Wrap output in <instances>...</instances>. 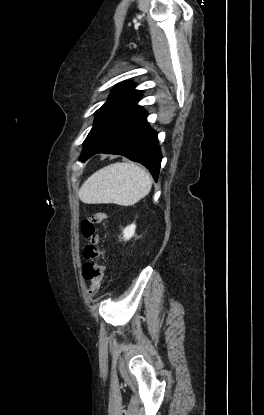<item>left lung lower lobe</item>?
Instances as JSON below:
<instances>
[{
  "label": "left lung lower lobe",
  "mask_w": 264,
  "mask_h": 415,
  "mask_svg": "<svg viewBox=\"0 0 264 415\" xmlns=\"http://www.w3.org/2000/svg\"><path fill=\"white\" fill-rule=\"evenodd\" d=\"M141 94L129 97L104 112L84 141L80 160L97 153L123 155L149 169L155 181L161 165L157 133L147 122V112L137 104Z\"/></svg>",
  "instance_id": "left-lung-lower-lobe-1"
}]
</instances>
